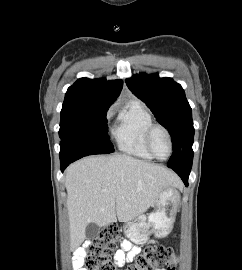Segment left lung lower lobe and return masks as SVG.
<instances>
[{
    "mask_svg": "<svg viewBox=\"0 0 242 270\" xmlns=\"http://www.w3.org/2000/svg\"><path fill=\"white\" fill-rule=\"evenodd\" d=\"M183 180L184 184L188 186V177L191 169H173Z\"/></svg>",
    "mask_w": 242,
    "mask_h": 270,
    "instance_id": "0a47b994",
    "label": "left lung lower lobe"
}]
</instances>
